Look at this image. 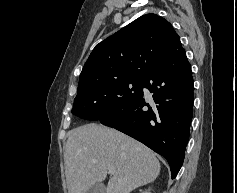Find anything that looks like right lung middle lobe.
<instances>
[{
    "instance_id": "right-lung-middle-lobe-1",
    "label": "right lung middle lobe",
    "mask_w": 237,
    "mask_h": 193,
    "mask_svg": "<svg viewBox=\"0 0 237 193\" xmlns=\"http://www.w3.org/2000/svg\"><path fill=\"white\" fill-rule=\"evenodd\" d=\"M143 78L107 80L78 90L72 113L86 120H100L129 105L141 92Z\"/></svg>"
}]
</instances>
